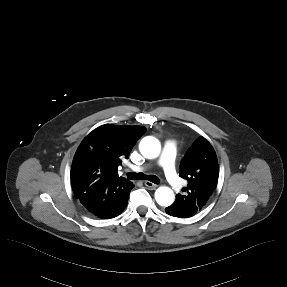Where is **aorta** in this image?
<instances>
[{
  "label": "aorta",
  "mask_w": 287,
  "mask_h": 287,
  "mask_svg": "<svg viewBox=\"0 0 287 287\" xmlns=\"http://www.w3.org/2000/svg\"><path fill=\"white\" fill-rule=\"evenodd\" d=\"M139 149L145 158L153 159L160 154L161 145L155 137L147 136L141 140ZM155 200L160 206L168 207L174 202L175 195L172 189L162 186L155 191Z\"/></svg>",
  "instance_id": "1"
}]
</instances>
